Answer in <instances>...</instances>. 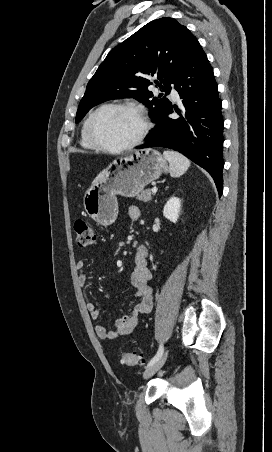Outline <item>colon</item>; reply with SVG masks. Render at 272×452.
Wrapping results in <instances>:
<instances>
[{"label": "colon", "mask_w": 272, "mask_h": 452, "mask_svg": "<svg viewBox=\"0 0 272 452\" xmlns=\"http://www.w3.org/2000/svg\"><path fill=\"white\" fill-rule=\"evenodd\" d=\"M74 230L76 233V242L80 248H87L94 244L96 234L88 222L82 219L77 220L74 224ZM121 362L129 366L141 365L143 363L142 357L131 352L123 353Z\"/></svg>", "instance_id": "1"}]
</instances>
